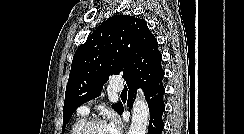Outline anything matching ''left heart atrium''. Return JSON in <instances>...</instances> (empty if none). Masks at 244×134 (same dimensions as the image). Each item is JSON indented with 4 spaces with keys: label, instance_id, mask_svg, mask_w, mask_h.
Listing matches in <instances>:
<instances>
[{
    "label": "left heart atrium",
    "instance_id": "obj_1",
    "mask_svg": "<svg viewBox=\"0 0 244 134\" xmlns=\"http://www.w3.org/2000/svg\"><path fill=\"white\" fill-rule=\"evenodd\" d=\"M108 130L110 134H119L118 121L113 119L108 125Z\"/></svg>",
    "mask_w": 244,
    "mask_h": 134
}]
</instances>
